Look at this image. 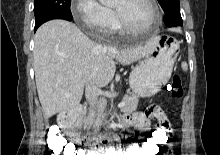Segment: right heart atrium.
<instances>
[{"mask_svg": "<svg viewBox=\"0 0 220 155\" xmlns=\"http://www.w3.org/2000/svg\"><path fill=\"white\" fill-rule=\"evenodd\" d=\"M71 12L86 31L97 35L109 34L116 21L113 11L97 0H74Z\"/></svg>", "mask_w": 220, "mask_h": 155, "instance_id": "d8ad5b80", "label": "right heart atrium"}]
</instances>
